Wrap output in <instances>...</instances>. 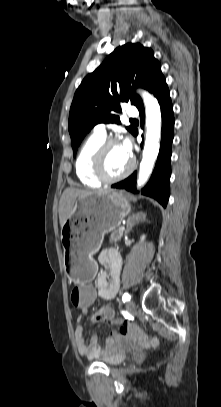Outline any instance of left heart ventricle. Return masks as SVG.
I'll return each mask as SVG.
<instances>
[{
    "label": "left heart ventricle",
    "mask_w": 221,
    "mask_h": 407,
    "mask_svg": "<svg viewBox=\"0 0 221 407\" xmlns=\"http://www.w3.org/2000/svg\"><path fill=\"white\" fill-rule=\"evenodd\" d=\"M130 156L124 151L121 143L111 145L104 157V170L109 176L124 172L130 164Z\"/></svg>",
    "instance_id": "b2bd125f"
}]
</instances>
